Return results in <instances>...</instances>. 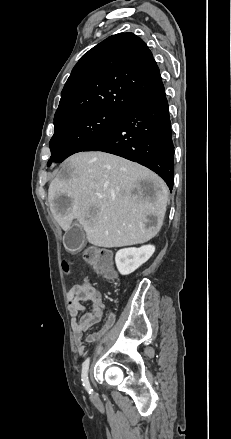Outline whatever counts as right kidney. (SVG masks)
Returning <instances> with one entry per match:
<instances>
[{
	"label": "right kidney",
	"instance_id": "1",
	"mask_svg": "<svg viewBox=\"0 0 231 439\" xmlns=\"http://www.w3.org/2000/svg\"><path fill=\"white\" fill-rule=\"evenodd\" d=\"M154 252L155 246L153 245L121 249L115 256L117 269L120 274L128 275L148 261Z\"/></svg>",
	"mask_w": 231,
	"mask_h": 439
}]
</instances>
